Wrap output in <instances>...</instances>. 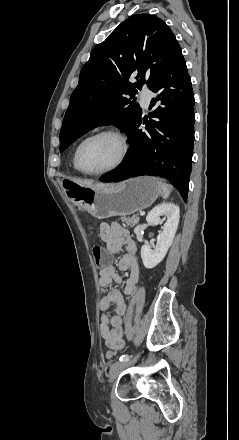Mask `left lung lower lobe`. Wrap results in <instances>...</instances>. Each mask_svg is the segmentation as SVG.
<instances>
[{
    "instance_id": "obj_1",
    "label": "left lung lower lobe",
    "mask_w": 239,
    "mask_h": 440,
    "mask_svg": "<svg viewBox=\"0 0 239 440\" xmlns=\"http://www.w3.org/2000/svg\"><path fill=\"white\" fill-rule=\"evenodd\" d=\"M157 93L150 109L147 131L137 123L126 133L130 149L124 163L115 172L101 177L102 182H118L130 177L159 175L179 185L183 199L187 200L194 142V94L179 44H175L160 74L149 86Z\"/></svg>"
}]
</instances>
